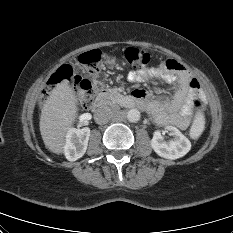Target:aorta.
Returning a JSON list of instances; mask_svg holds the SVG:
<instances>
[{
    "label": "aorta",
    "instance_id": "aorta-1",
    "mask_svg": "<svg viewBox=\"0 0 233 233\" xmlns=\"http://www.w3.org/2000/svg\"><path fill=\"white\" fill-rule=\"evenodd\" d=\"M126 117L128 119L129 122H138L140 120V112L137 109H130L127 113H126Z\"/></svg>",
    "mask_w": 233,
    "mask_h": 233
}]
</instances>
